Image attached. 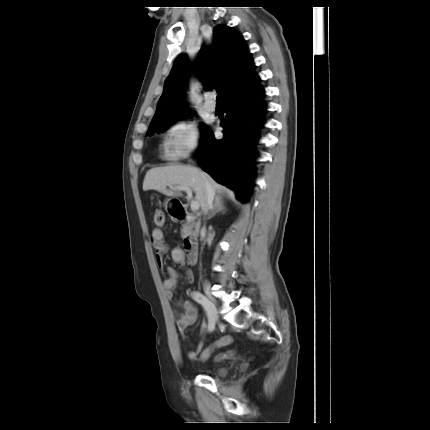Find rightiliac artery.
I'll use <instances>...</instances> for the list:
<instances>
[{
  "label": "right iliac artery",
  "instance_id": "1",
  "mask_svg": "<svg viewBox=\"0 0 430 430\" xmlns=\"http://www.w3.org/2000/svg\"><path fill=\"white\" fill-rule=\"evenodd\" d=\"M192 297L193 299L199 303L204 310L206 311L207 317H208V330L210 332H212L215 328V321L211 315L210 309H209V300L206 298V296H204L202 293L198 292V291H194L192 293Z\"/></svg>",
  "mask_w": 430,
  "mask_h": 430
}]
</instances>
